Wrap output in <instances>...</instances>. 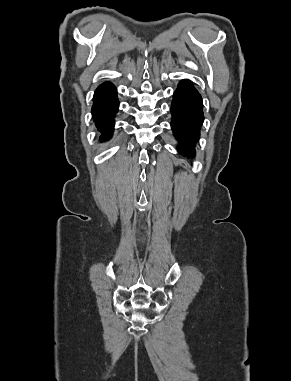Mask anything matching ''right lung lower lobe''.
I'll list each match as a JSON object with an SVG mask.
<instances>
[{
    "mask_svg": "<svg viewBox=\"0 0 291 381\" xmlns=\"http://www.w3.org/2000/svg\"><path fill=\"white\" fill-rule=\"evenodd\" d=\"M119 102L116 88L109 82L101 84L94 93L92 116L99 131L100 140L111 137L114 128V117L118 111Z\"/></svg>",
    "mask_w": 291,
    "mask_h": 381,
    "instance_id": "98d812e1",
    "label": "right lung lower lobe"
}]
</instances>
